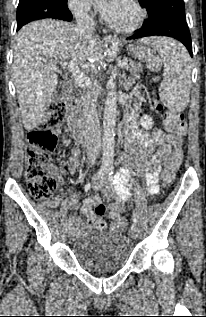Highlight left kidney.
<instances>
[{
  "label": "left kidney",
  "mask_w": 206,
  "mask_h": 317,
  "mask_svg": "<svg viewBox=\"0 0 206 317\" xmlns=\"http://www.w3.org/2000/svg\"><path fill=\"white\" fill-rule=\"evenodd\" d=\"M140 124L144 129L148 130L152 128L154 123L152 117L145 115L140 119Z\"/></svg>",
  "instance_id": "obj_1"
}]
</instances>
